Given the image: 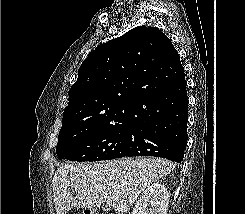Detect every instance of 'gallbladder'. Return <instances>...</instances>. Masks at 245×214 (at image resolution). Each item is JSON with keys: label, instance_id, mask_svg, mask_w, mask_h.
I'll list each match as a JSON object with an SVG mask.
<instances>
[{"label": "gallbladder", "instance_id": "obj_1", "mask_svg": "<svg viewBox=\"0 0 245 214\" xmlns=\"http://www.w3.org/2000/svg\"><path fill=\"white\" fill-rule=\"evenodd\" d=\"M102 210L104 211V212H107V211H109L110 210V207L109 206H103L102 207Z\"/></svg>", "mask_w": 245, "mask_h": 214}]
</instances>
